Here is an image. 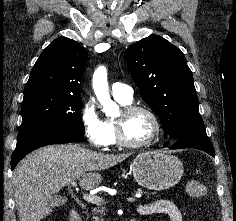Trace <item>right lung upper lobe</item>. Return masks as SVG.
I'll return each mask as SVG.
<instances>
[{"label":"right lung upper lobe","instance_id":"cb5924a9","mask_svg":"<svg viewBox=\"0 0 236 221\" xmlns=\"http://www.w3.org/2000/svg\"><path fill=\"white\" fill-rule=\"evenodd\" d=\"M86 61L87 52L78 42L67 37L53 40L32 68L24 95L33 92L80 95Z\"/></svg>","mask_w":236,"mask_h":221}]
</instances>
